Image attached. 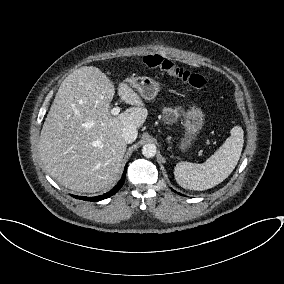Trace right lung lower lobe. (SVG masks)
Listing matches in <instances>:
<instances>
[{"mask_svg": "<svg viewBox=\"0 0 284 284\" xmlns=\"http://www.w3.org/2000/svg\"><path fill=\"white\" fill-rule=\"evenodd\" d=\"M125 177H126V167L124 169V172H123V175H122V178L121 180L118 182V184L109 192L101 195V196H96V197H81V196H75V195H72L73 197L77 198V199H82V200H87V201H93V202H96V201H100V200H103V199H106L112 195H114L115 193L118 192V190L123 186L124 184V181H125Z\"/></svg>", "mask_w": 284, "mask_h": 284, "instance_id": "obj_1", "label": "right lung lower lobe"}]
</instances>
